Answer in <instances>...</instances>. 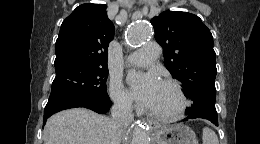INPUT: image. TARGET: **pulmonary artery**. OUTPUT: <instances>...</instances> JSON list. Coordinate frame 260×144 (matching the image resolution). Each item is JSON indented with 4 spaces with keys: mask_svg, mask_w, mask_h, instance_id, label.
<instances>
[{
    "mask_svg": "<svg viewBox=\"0 0 260 144\" xmlns=\"http://www.w3.org/2000/svg\"><path fill=\"white\" fill-rule=\"evenodd\" d=\"M160 54V47L157 43H148L138 51L129 56V61L139 67H145L156 61Z\"/></svg>",
    "mask_w": 260,
    "mask_h": 144,
    "instance_id": "1",
    "label": "pulmonary artery"
}]
</instances>
